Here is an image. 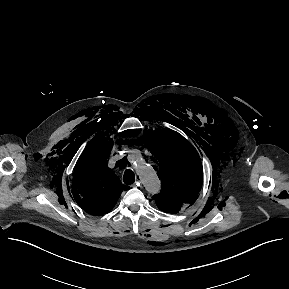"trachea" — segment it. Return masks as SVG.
<instances>
[{
    "instance_id": "trachea-1",
    "label": "trachea",
    "mask_w": 289,
    "mask_h": 289,
    "mask_svg": "<svg viewBox=\"0 0 289 289\" xmlns=\"http://www.w3.org/2000/svg\"><path fill=\"white\" fill-rule=\"evenodd\" d=\"M123 182L127 185L133 184L135 182V176L132 170L127 169L124 172Z\"/></svg>"
}]
</instances>
